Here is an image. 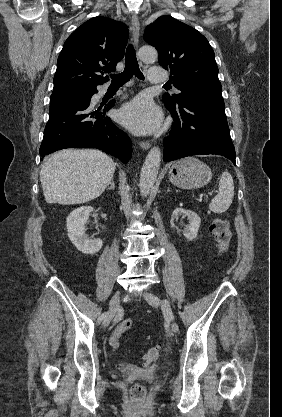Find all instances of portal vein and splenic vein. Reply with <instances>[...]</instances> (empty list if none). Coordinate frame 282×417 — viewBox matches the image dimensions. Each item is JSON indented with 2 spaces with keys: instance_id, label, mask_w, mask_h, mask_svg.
<instances>
[{
  "instance_id": "18ae733b",
  "label": "portal vein and splenic vein",
  "mask_w": 282,
  "mask_h": 417,
  "mask_svg": "<svg viewBox=\"0 0 282 417\" xmlns=\"http://www.w3.org/2000/svg\"><path fill=\"white\" fill-rule=\"evenodd\" d=\"M207 196L210 197L211 199H214L215 198V195H214L213 192H208L207 193Z\"/></svg>"
}]
</instances>
